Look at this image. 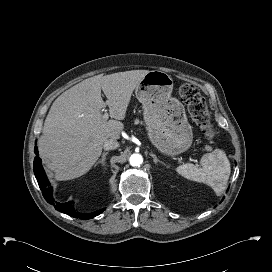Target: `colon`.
Returning a JSON list of instances; mask_svg holds the SVG:
<instances>
[{
  "label": "colon",
  "mask_w": 272,
  "mask_h": 272,
  "mask_svg": "<svg viewBox=\"0 0 272 272\" xmlns=\"http://www.w3.org/2000/svg\"><path fill=\"white\" fill-rule=\"evenodd\" d=\"M178 94L187 106L192 119L201 128L204 135L209 139H214L216 131L210 123L205 99L198 89L192 84L182 83L178 86Z\"/></svg>",
  "instance_id": "5ec220e1"
}]
</instances>
